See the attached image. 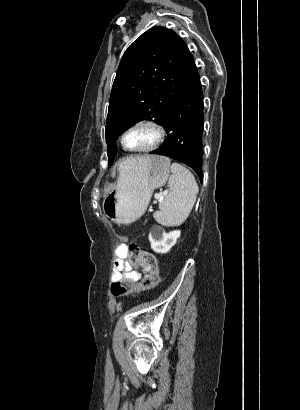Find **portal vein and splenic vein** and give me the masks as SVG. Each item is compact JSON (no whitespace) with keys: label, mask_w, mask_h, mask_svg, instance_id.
<instances>
[{"label":"portal vein and splenic vein","mask_w":300,"mask_h":410,"mask_svg":"<svg viewBox=\"0 0 300 410\" xmlns=\"http://www.w3.org/2000/svg\"><path fill=\"white\" fill-rule=\"evenodd\" d=\"M166 194H167L166 192H163V193H160V194L156 193V194L154 195V198H155L156 200H160V199H162Z\"/></svg>","instance_id":"obj_1"}]
</instances>
